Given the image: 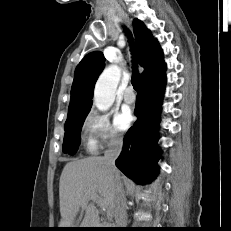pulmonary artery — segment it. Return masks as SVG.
<instances>
[{"label":"pulmonary artery","instance_id":"pulmonary-artery-1","mask_svg":"<svg viewBox=\"0 0 231 231\" xmlns=\"http://www.w3.org/2000/svg\"><path fill=\"white\" fill-rule=\"evenodd\" d=\"M123 99L127 103H133L135 101V94L133 92L132 87L126 88V90L123 93Z\"/></svg>","mask_w":231,"mask_h":231}]
</instances>
